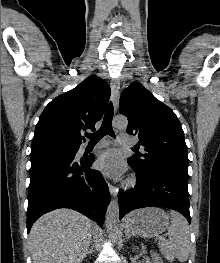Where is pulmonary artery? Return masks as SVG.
<instances>
[{
	"mask_svg": "<svg viewBox=\"0 0 220 263\" xmlns=\"http://www.w3.org/2000/svg\"><path fill=\"white\" fill-rule=\"evenodd\" d=\"M119 140L121 143L126 144V145H131L134 143V138L128 134H121ZM108 144H109V141L102 140L97 143V147H104V146H107ZM84 148L85 146L82 149Z\"/></svg>",
	"mask_w": 220,
	"mask_h": 263,
	"instance_id": "obj_1",
	"label": "pulmonary artery"
}]
</instances>
